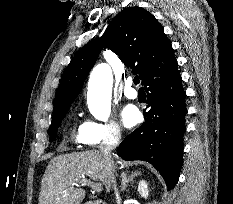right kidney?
Wrapping results in <instances>:
<instances>
[{
    "mask_svg": "<svg viewBox=\"0 0 233 204\" xmlns=\"http://www.w3.org/2000/svg\"><path fill=\"white\" fill-rule=\"evenodd\" d=\"M138 192L141 195V197L147 199L149 196V190H148V185L146 181L141 180L138 184Z\"/></svg>",
    "mask_w": 233,
    "mask_h": 204,
    "instance_id": "right-kidney-1",
    "label": "right kidney"
}]
</instances>
